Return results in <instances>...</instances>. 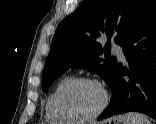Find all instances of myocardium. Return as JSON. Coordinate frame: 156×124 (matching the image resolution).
Wrapping results in <instances>:
<instances>
[{
    "label": "myocardium",
    "instance_id": "f54148a6",
    "mask_svg": "<svg viewBox=\"0 0 156 124\" xmlns=\"http://www.w3.org/2000/svg\"><path fill=\"white\" fill-rule=\"evenodd\" d=\"M93 84L97 86L101 93H102V103L99 108L91 115L87 117H77L73 114L68 113L62 106V98L65 93L71 89L72 87L79 85V84ZM109 104V92L105 85L98 79L92 77H76L71 79L70 81L66 82L57 92L55 99H54V107L56 112L64 119L68 120L71 123H88L91 121L96 120L100 115L106 110Z\"/></svg>",
    "mask_w": 156,
    "mask_h": 124
}]
</instances>
